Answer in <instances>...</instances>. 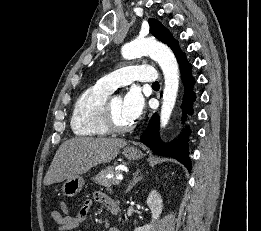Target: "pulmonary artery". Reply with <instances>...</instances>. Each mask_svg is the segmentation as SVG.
Listing matches in <instances>:
<instances>
[{
    "label": "pulmonary artery",
    "mask_w": 261,
    "mask_h": 231,
    "mask_svg": "<svg viewBox=\"0 0 261 231\" xmlns=\"http://www.w3.org/2000/svg\"><path fill=\"white\" fill-rule=\"evenodd\" d=\"M132 81L156 82V70L151 66H126L104 75L98 83L114 91Z\"/></svg>",
    "instance_id": "e3ab8cb5"
}]
</instances>
